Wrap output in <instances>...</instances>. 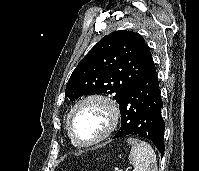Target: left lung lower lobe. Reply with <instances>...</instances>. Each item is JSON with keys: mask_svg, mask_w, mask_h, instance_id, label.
<instances>
[{"mask_svg": "<svg viewBox=\"0 0 199 171\" xmlns=\"http://www.w3.org/2000/svg\"><path fill=\"white\" fill-rule=\"evenodd\" d=\"M162 107L163 102L153 62L120 102L122 122L113 138L138 135L150 139L163 155L165 123L161 116Z\"/></svg>", "mask_w": 199, "mask_h": 171, "instance_id": "1", "label": "left lung lower lobe"}]
</instances>
